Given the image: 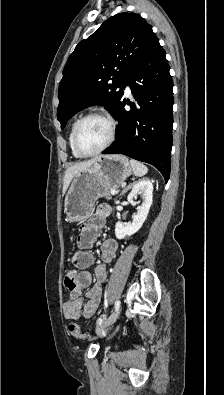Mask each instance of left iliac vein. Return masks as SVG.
I'll list each match as a JSON object with an SVG mask.
<instances>
[{"instance_id":"left-iliac-vein-1","label":"left iliac vein","mask_w":224,"mask_h":395,"mask_svg":"<svg viewBox=\"0 0 224 395\" xmlns=\"http://www.w3.org/2000/svg\"><path fill=\"white\" fill-rule=\"evenodd\" d=\"M120 309V306L115 308L114 312L100 326L97 327V331L109 328L111 325H113L120 314Z\"/></svg>"}]
</instances>
